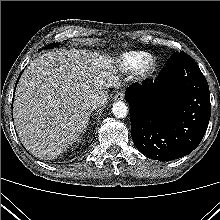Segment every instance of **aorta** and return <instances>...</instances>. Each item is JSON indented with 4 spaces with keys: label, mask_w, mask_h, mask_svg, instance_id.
<instances>
[{
    "label": "aorta",
    "mask_w": 220,
    "mask_h": 220,
    "mask_svg": "<svg viewBox=\"0 0 220 220\" xmlns=\"http://www.w3.org/2000/svg\"><path fill=\"white\" fill-rule=\"evenodd\" d=\"M112 113L116 118H125L128 114V107L123 101H117L112 106Z\"/></svg>",
    "instance_id": "1"
}]
</instances>
